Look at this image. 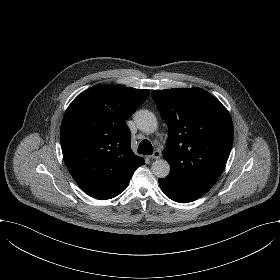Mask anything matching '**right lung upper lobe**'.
<instances>
[{
  "mask_svg": "<svg viewBox=\"0 0 280 280\" xmlns=\"http://www.w3.org/2000/svg\"><path fill=\"white\" fill-rule=\"evenodd\" d=\"M149 90L122 85H95L67 108L60 130L64 161L88 195L111 199L125 190L144 164L131 145L125 120L147 99Z\"/></svg>",
  "mask_w": 280,
  "mask_h": 280,
  "instance_id": "right-lung-upper-lobe-1",
  "label": "right lung upper lobe"
}]
</instances>
